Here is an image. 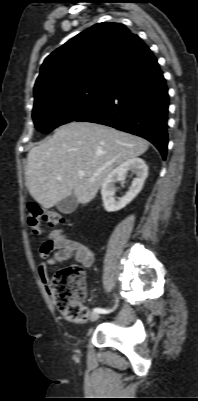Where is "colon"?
I'll return each mask as SVG.
<instances>
[{"mask_svg":"<svg viewBox=\"0 0 198 401\" xmlns=\"http://www.w3.org/2000/svg\"><path fill=\"white\" fill-rule=\"evenodd\" d=\"M27 224L35 235L41 233V226L57 227L63 223V215L45 210L36 203L28 205ZM49 290L57 308L66 320L83 323L88 310L83 306L85 299V272L80 266H68L56 272L49 283Z\"/></svg>","mask_w":198,"mask_h":401,"instance_id":"obj_1","label":"colon"}]
</instances>
